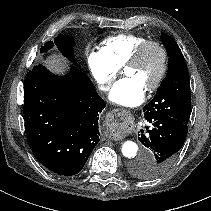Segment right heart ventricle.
<instances>
[{
    "mask_svg": "<svg viewBox=\"0 0 211 211\" xmlns=\"http://www.w3.org/2000/svg\"><path fill=\"white\" fill-rule=\"evenodd\" d=\"M146 40L141 35L119 34L104 39L101 50L116 67L121 68L135 49Z\"/></svg>",
    "mask_w": 211,
    "mask_h": 211,
    "instance_id": "right-heart-ventricle-1",
    "label": "right heart ventricle"
}]
</instances>
